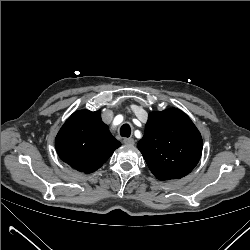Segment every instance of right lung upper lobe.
Masks as SVG:
<instances>
[{
  "instance_id": "right-lung-upper-lobe-1",
  "label": "right lung upper lobe",
  "mask_w": 250,
  "mask_h": 250,
  "mask_svg": "<svg viewBox=\"0 0 250 250\" xmlns=\"http://www.w3.org/2000/svg\"><path fill=\"white\" fill-rule=\"evenodd\" d=\"M55 146L59 157L72 168L92 173L108 160L121 143L111 135L99 111L80 110L74 112L62 126Z\"/></svg>"
}]
</instances>
